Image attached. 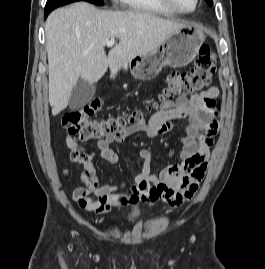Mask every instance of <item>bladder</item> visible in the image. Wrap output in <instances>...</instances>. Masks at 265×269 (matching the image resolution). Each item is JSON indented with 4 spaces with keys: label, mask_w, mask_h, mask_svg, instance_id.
Listing matches in <instances>:
<instances>
[{
    "label": "bladder",
    "mask_w": 265,
    "mask_h": 269,
    "mask_svg": "<svg viewBox=\"0 0 265 269\" xmlns=\"http://www.w3.org/2000/svg\"><path fill=\"white\" fill-rule=\"evenodd\" d=\"M140 216V211L139 210H133L130 211L126 214L125 219L128 221H133L137 219Z\"/></svg>",
    "instance_id": "obj_1"
}]
</instances>
